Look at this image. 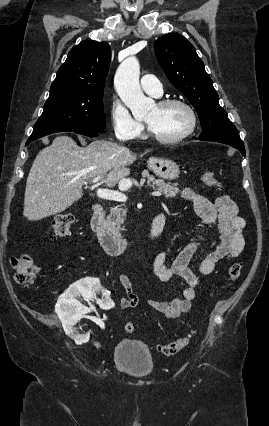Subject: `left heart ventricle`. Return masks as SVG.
<instances>
[{"instance_id":"left-heart-ventricle-1","label":"left heart ventricle","mask_w":269,"mask_h":426,"mask_svg":"<svg viewBox=\"0 0 269 426\" xmlns=\"http://www.w3.org/2000/svg\"><path fill=\"white\" fill-rule=\"evenodd\" d=\"M144 120L152 132L163 138L176 137L186 131L190 125V115L180 105L167 107L155 105Z\"/></svg>"}]
</instances>
